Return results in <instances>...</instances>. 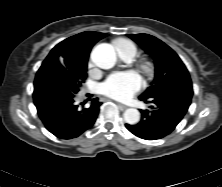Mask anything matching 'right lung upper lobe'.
Returning a JSON list of instances; mask_svg holds the SVG:
<instances>
[{
  "mask_svg": "<svg viewBox=\"0 0 222 187\" xmlns=\"http://www.w3.org/2000/svg\"><path fill=\"white\" fill-rule=\"evenodd\" d=\"M106 36V33L93 31H86L74 35L57 44L51 50L50 54L45 59V62L52 63L59 58L87 62L93 45Z\"/></svg>",
  "mask_w": 222,
  "mask_h": 187,
  "instance_id": "obj_1",
  "label": "right lung upper lobe"
}]
</instances>
